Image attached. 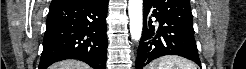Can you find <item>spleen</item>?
<instances>
[{
	"mask_svg": "<svg viewBox=\"0 0 246 69\" xmlns=\"http://www.w3.org/2000/svg\"><path fill=\"white\" fill-rule=\"evenodd\" d=\"M149 69H197L195 64L178 56H164L149 65Z\"/></svg>",
	"mask_w": 246,
	"mask_h": 69,
	"instance_id": "3e777b00",
	"label": "spleen"
}]
</instances>
